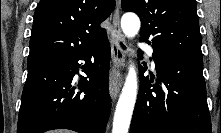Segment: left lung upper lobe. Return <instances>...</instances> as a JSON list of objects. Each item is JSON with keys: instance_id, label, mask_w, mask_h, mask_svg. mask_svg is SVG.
<instances>
[{"instance_id": "left-lung-upper-lobe-1", "label": "left lung upper lobe", "mask_w": 221, "mask_h": 133, "mask_svg": "<svg viewBox=\"0 0 221 133\" xmlns=\"http://www.w3.org/2000/svg\"><path fill=\"white\" fill-rule=\"evenodd\" d=\"M122 9L139 15L140 41L202 59L195 0H122Z\"/></svg>"}]
</instances>
